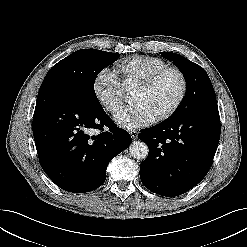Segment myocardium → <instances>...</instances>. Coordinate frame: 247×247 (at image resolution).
Returning <instances> with one entry per match:
<instances>
[{
  "label": "myocardium",
  "instance_id": "1",
  "mask_svg": "<svg viewBox=\"0 0 247 247\" xmlns=\"http://www.w3.org/2000/svg\"><path fill=\"white\" fill-rule=\"evenodd\" d=\"M169 71H173L177 73L178 76L180 77L181 90H180V93L176 101L173 103V105L170 108H168L166 111H164L163 113L157 116L156 119L158 121H163L173 116L178 111L182 103L184 102L185 97L187 95V91H188V81H187L185 73L176 66H165L147 75L137 84V87H140L143 89L149 88L151 85H153L156 82V80L160 76H162L164 73L169 72Z\"/></svg>",
  "mask_w": 247,
  "mask_h": 247
}]
</instances>
